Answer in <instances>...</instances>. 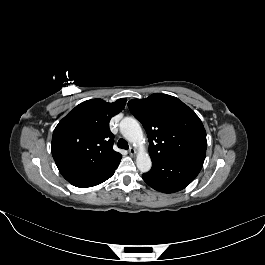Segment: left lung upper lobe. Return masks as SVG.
<instances>
[{
	"label": "left lung upper lobe",
	"instance_id": "5c2ea615",
	"mask_svg": "<svg viewBox=\"0 0 265 265\" xmlns=\"http://www.w3.org/2000/svg\"><path fill=\"white\" fill-rule=\"evenodd\" d=\"M128 107L147 132L151 160L206 151L201 120L178 98L155 93L146 99L130 100Z\"/></svg>",
	"mask_w": 265,
	"mask_h": 265
}]
</instances>
